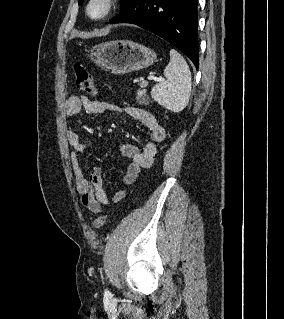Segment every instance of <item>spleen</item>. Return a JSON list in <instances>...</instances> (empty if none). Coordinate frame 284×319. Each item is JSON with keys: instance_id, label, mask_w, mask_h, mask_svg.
Instances as JSON below:
<instances>
[{"instance_id": "1", "label": "spleen", "mask_w": 284, "mask_h": 319, "mask_svg": "<svg viewBox=\"0 0 284 319\" xmlns=\"http://www.w3.org/2000/svg\"><path fill=\"white\" fill-rule=\"evenodd\" d=\"M161 82L151 91L152 98L172 112L182 111L189 102L191 73L184 58L174 49L170 50V61L164 69Z\"/></svg>"}]
</instances>
